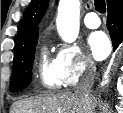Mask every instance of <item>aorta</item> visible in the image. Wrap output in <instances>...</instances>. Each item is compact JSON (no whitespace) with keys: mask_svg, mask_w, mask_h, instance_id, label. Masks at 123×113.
I'll return each instance as SVG.
<instances>
[{"mask_svg":"<svg viewBox=\"0 0 123 113\" xmlns=\"http://www.w3.org/2000/svg\"><path fill=\"white\" fill-rule=\"evenodd\" d=\"M79 0H60L56 19L57 30L63 41L74 42L79 34Z\"/></svg>","mask_w":123,"mask_h":113,"instance_id":"762f6f07","label":"aorta"}]
</instances>
